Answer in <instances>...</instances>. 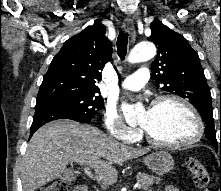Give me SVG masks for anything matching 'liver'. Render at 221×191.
<instances>
[{
	"instance_id": "liver-1",
	"label": "liver",
	"mask_w": 221,
	"mask_h": 191,
	"mask_svg": "<svg viewBox=\"0 0 221 191\" xmlns=\"http://www.w3.org/2000/svg\"><path fill=\"white\" fill-rule=\"evenodd\" d=\"M149 152L126 146L90 125L56 120L32 136L22 163L23 191H35L60 177L68 163L89 165L96 179L107 187L116 182L120 164Z\"/></svg>"
}]
</instances>
